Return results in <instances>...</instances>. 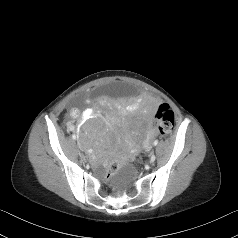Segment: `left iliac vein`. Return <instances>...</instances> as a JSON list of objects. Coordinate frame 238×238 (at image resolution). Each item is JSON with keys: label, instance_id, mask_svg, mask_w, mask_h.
<instances>
[{"label": "left iliac vein", "instance_id": "1", "mask_svg": "<svg viewBox=\"0 0 238 238\" xmlns=\"http://www.w3.org/2000/svg\"><path fill=\"white\" fill-rule=\"evenodd\" d=\"M155 155H152L151 158H150V163H153L155 161Z\"/></svg>", "mask_w": 238, "mask_h": 238}]
</instances>
